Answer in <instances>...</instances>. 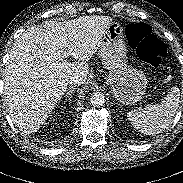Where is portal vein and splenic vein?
Listing matches in <instances>:
<instances>
[{"instance_id":"18ae733b","label":"portal vein and splenic vein","mask_w":183,"mask_h":183,"mask_svg":"<svg viewBox=\"0 0 183 183\" xmlns=\"http://www.w3.org/2000/svg\"><path fill=\"white\" fill-rule=\"evenodd\" d=\"M68 56H69L68 53L63 54V58H67Z\"/></svg>"}]
</instances>
